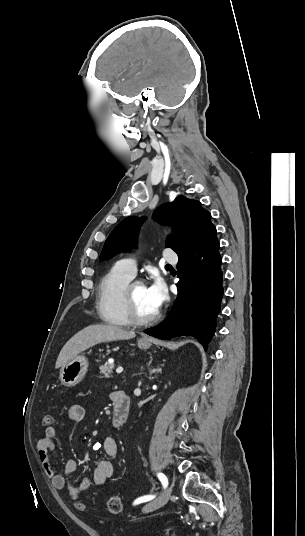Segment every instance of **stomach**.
Segmentation results:
<instances>
[{
  "label": "stomach",
  "instance_id": "obj_1",
  "mask_svg": "<svg viewBox=\"0 0 305 536\" xmlns=\"http://www.w3.org/2000/svg\"><path fill=\"white\" fill-rule=\"evenodd\" d=\"M150 346L149 338H141V340H138V348H140V350H148ZM86 372H88V360L82 354V356H76L74 360L61 366L59 380L62 386L72 388V386H76V384L82 382Z\"/></svg>",
  "mask_w": 305,
  "mask_h": 536
}]
</instances>
